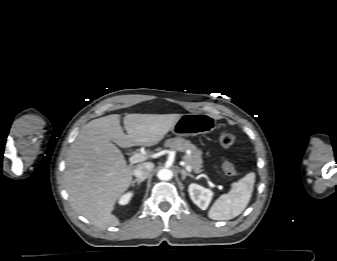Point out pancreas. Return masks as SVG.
I'll use <instances>...</instances> for the list:
<instances>
[{
	"instance_id": "1",
	"label": "pancreas",
	"mask_w": 337,
	"mask_h": 261,
	"mask_svg": "<svg viewBox=\"0 0 337 261\" xmlns=\"http://www.w3.org/2000/svg\"><path fill=\"white\" fill-rule=\"evenodd\" d=\"M165 146L171 149H175L181 152L190 151V154H185L183 161L190 165L195 173H201L203 171L202 152L190 141L183 138H173L165 142Z\"/></svg>"
}]
</instances>
